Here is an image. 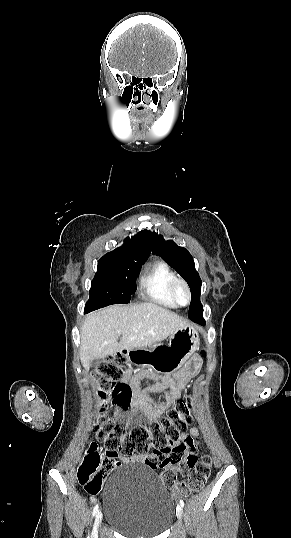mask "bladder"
Here are the masks:
<instances>
[{"label": "bladder", "instance_id": "bladder-1", "mask_svg": "<svg viewBox=\"0 0 291 538\" xmlns=\"http://www.w3.org/2000/svg\"><path fill=\"white\" fill-rule=\"evenodd\" d=\"M108 525L129 538H155L174 518V500L147 467L130 463L116 469L103 492Z\"/></svg>", "mask_w": 291, "mask_h": 538}]
</instances>
